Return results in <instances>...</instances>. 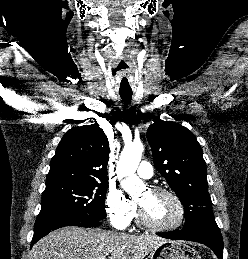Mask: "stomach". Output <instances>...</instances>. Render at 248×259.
Wrapping results in <instances>:
<instances>
[{"mask_svg": "<svg viewBox=\"0 0 248 259\" xmlns=\"http://www.w3.org/2000/svg\"><path fill=\"white\" fill-rule=\"evenodd\" d=\"M151 259H201L191 246L175 241H168L157 246L150 254Z\"/></svg>", "mask_w": 248, "mask_h": 259, "instance_id": "0dacf381", "label": "stomach"}]
</instances>
